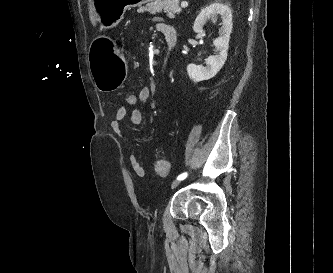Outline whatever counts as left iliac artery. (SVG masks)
I'll return each mask as SVG.
<instances>
[{
	"instance_id": "left-iliac-artery-1",
	"label": "left iliac artery",
	"mask_w": 333,
	"mask_h": 273,
	"mask_svg": "<svg viewBox=\"0 0 333 273\" xmlns=\"http://www.w3.org/2000/svg\"><path fill=\"white\" fill-rule=\"evenodd\" d=\"M187 176H188V173H187V172H184V173L180 174V175L177 177V180H184Z\"/></svg>"
}]
</instances>
